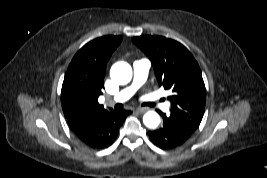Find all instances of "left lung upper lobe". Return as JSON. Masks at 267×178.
I'll use <instances>...</instances> for the list:
<instances>
[{"instance_id": "left-lung-upper-lobe-1", "label": "left lung upper lobe", "mask_w": 267, "mask_h": 178, "mask_svg": "<svg viewBox=\"0 0 267 178\" xmlns=\"http://www.w3.org/2000/svg\"><path fill=\"white\" fill-rule=\"evenodd\" d=\"M133 42L151 60L159 86L172 91L170 115L195 131L204 115L206 89L192 54L181 43L162 36H138Z\"/></svg>"}]
</instances>
